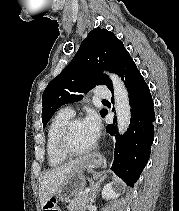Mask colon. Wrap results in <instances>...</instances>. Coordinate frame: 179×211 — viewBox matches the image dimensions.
I'll return each instance as SVG.
<instances>
[{
    "mask_svg": "<svg viewBox=\"0 0 179 211\" xmlns=\"http://www.w3.org/2000/svg\"><path fill=\"white\" fill-rule=\"evenodd\" d=\"M43 211H60V209L55 200H50L44 205Z\"/></svg>",
    "mask_w": 179,
    "mask_h": 211,
    "instance_id": "obj_1",
    "label": "colon"
}]
</instances>
